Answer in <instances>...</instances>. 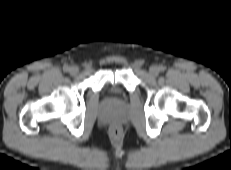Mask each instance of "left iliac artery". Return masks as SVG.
<instances>
[{
  "label": "left iliac artery",
  "instance_id": "obj_1",
  "mask_svg": "<svg viewBox=\"0 0 231 170\" xmlns=\"http://www.w3.org/2000/svg\"><path fill=\"white\" fill-rule=\"evenodd\" d=\"M159 70H160V71H164V70H165V67H164V66H160V67H159Z\"/></svg>",
  "mask_w": 231,
  "mask_h": 170
}]
</instances>
